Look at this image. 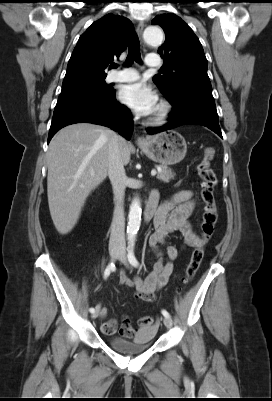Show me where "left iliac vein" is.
<instances>
[{
    "mask_svg": "<svg viewBox=\"0 0 272 401\" xmlns=\"http://www.w3.org/2000/svg\"><path fill=\"white\" fill-rule=\"evenodd\" d=\"M117 258H118V260L120 262H122L124 265H126L128 267V261H127L126 251H125L124 245H122L120 247V251H119V254H118ZM163 323L167 328H171L172 325H173L172 319L170 317H165L163 319Z\"/></svg>",
    "mask_w": 272,
    "mask_h": 401,
    "instance_id": "4c4485c4",
    "label": "left iliac vein"
}]
</instances>
